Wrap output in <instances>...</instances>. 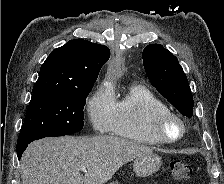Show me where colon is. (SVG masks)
Wrapping results in <instances>:
<instances>
[{
  "mask_svg": "<svg viewBox=\"0 0 224 184\" xmlns=\"http://www.w3.org/2000/svg\"><path fill=\"white\" fill-rule=\"evenodd\" d=\"M171 175L176 181L186 182L192 175V168L189 164L174 160L170 163Z\"/></svg>",
  "mask_w": 224,
  "mask_h": 184,
  "instance_id": "obj_1",
  "label": "colon"
}]
</instances>
